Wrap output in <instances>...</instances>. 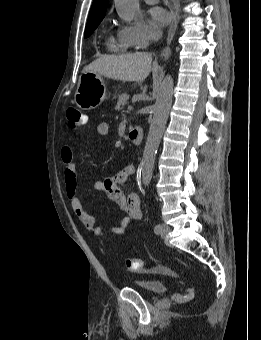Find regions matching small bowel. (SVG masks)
<instances>
[{
    "label": "small bowel",
    "mask_w": 261,
    "mask_h": 340,
    "mask_svg": "<svg viewBox=\"0 0 261 340\" xmlns=\"http://www.w3.org/2000/svg\"><path fill=\"white\" fill-rule=\"evenodd\" d=\"M97 133L100 136H107L109 133V125L105 122L99 123ZM61 159L65 164L64 174L67 198L75 217L86 230L93 232L97 237H103L106 231L113 234H123L134 221L141 219L142 211L139 196L136 193L127 195L121 189V185L135 174L136 169L133 165L126 166L115 175L104 180H95L93 182L95 190L103 192L109 201L116 203L120 210L125 213V216L117 226L107 229L103 226L96 225L94 217L84 210L77 196L76 164L73 159V150L71 147L64 146L61 149Z\"/></svg>",
    "instance_id": "1"
}]
</instances>
